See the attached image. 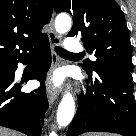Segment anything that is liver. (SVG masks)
<instances>
[{
  "label": "liver",
  "instance_id": "1",
  "mask_svg": "<svg viewBox=\"0 0 136 136\" xmlns=\"http://www.w3.org/2000/svg\"><path fill=\"white\" fill-rule=\"evenodd\" d=\"M0 136H21V135L12 130L0 127Z\"/></svg>",
  "mask_w": 136,
  "mask_h": 136
}]
</instances>
